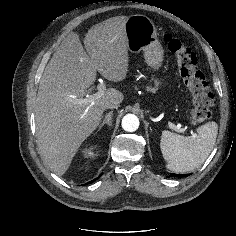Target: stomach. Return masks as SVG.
<instances>
[{
    "mask_svg": "<svg viewBox=\"0 0 236 236\" xmlns=\"http://www.w3.org/2000/svg\"><path fill=\"white\" fill-rule=\"evenodd\" d=\"M125 32L128 39V49L132 53L143 52L146 64L150 69L159 70L164 57V51L157 39V30L151 19L144 15H132L125 24ZM155 88L163 85L161 79L154 80ZM157 107L162 109V105Z\"/></svg>",
    "mask_w": 236,
    "mask_h": 236,
    "instance_id": "0dacf381",
    "label": "stomach"
}]
</instances>
